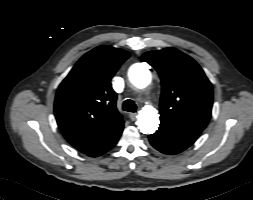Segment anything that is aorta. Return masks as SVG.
<instances>
[{"instance_id": "obj_1", "label": "aorta", "mask_w": 253, "mask_h": 200, "mask_svg": "<svg viewBox=\"0 0 253 200\" xmlns=\"http://www.w3.org/2000/svg\"><path fill=\"white\" fill-rule=\"evenodd\" d=\"M129 80L135 87L143 89L151 82V73L144 64L137 63L132 65L129 70ZM137 125L144 134L154 133L159 126L157 110L151 106L144 107L139 112Z\"/></svg>"}]
</instances>
